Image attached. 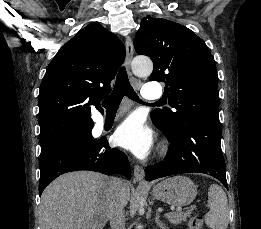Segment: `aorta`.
<instances>
[{
	"label": "aorta",
	"instance_id": "aorta-1",
	"mask_svg": "<svg viewBox=\"0 0 261 229\" xmlns=\"http://www.w3.org/2000/svg\"><path fill=\"white\" fill-rule=\"evenodd\" d=\"M131 68L136 76H150L153 70V62L149 56H135L131 62ZM136 229H143V227L138 223Z\"/></svg>",
	"mask_w": 261,
	"mask_h": 229
}]
</instances>
